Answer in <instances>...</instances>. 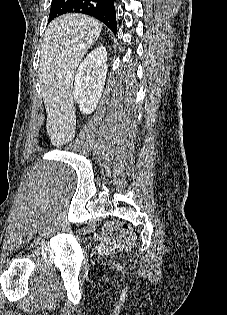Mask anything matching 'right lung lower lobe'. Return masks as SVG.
Returning <instances> with one entry per match:
<instances>
[{
  "label": "right lung lower lobe",
  "mask_w": 227,
  "mask_h": 315,
  "mask_svg": "<svg viewBox=\"0 0 227 315\" xmlns=\"http://www.w3.org/2000/svg\"><path fill=\"white\" fill-rule=\"evenodd\" d=\"M66 13L93 16L107 25L115 35L117 33L114 0H52L49 22Z\"/></svg>",
  "instance_id": "obj_1"
}]
</instances>
